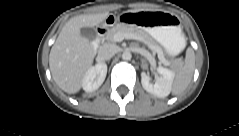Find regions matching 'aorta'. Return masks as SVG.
Returning a JSON list of instances; mask_svg holds the SVG:
<instances>
[{"label": "aorta", "mask_w": 239, "mask_h": 136, "mask_svg": "<svg viewBox=\"0 0 239 136\" xmlns=\"http://www.w3.org/2000/svg\"><path fill=\"white\" fill-rule=\"evenodd\" d=\"M131 58H132V54H131L130 51L126 50V51L123 52V54H122V59L123 60L128 61V60H131Z\"/></svg>", "instance_id": "obj_1"}]
</instances>
